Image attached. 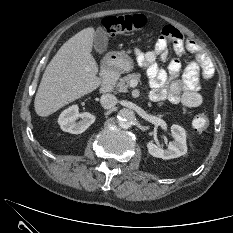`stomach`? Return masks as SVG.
<instances>
[{
    "label": "stomach",
    "instance_id": "obj_1",
    "mask_svg": "<svg viewBox=\"0 0 233 233\" xmlns=\"http://www.w3.org/2000/svg\"><path fill=\"white\" fill-rule=\"evenodd\" d=\"M114 67L120 72H128L133 69L134 63L132 59L124 52H116L114 54Z\"/></svg>",
    "mask_w": 233,
    "mask_h": 233
}]
</instances>
